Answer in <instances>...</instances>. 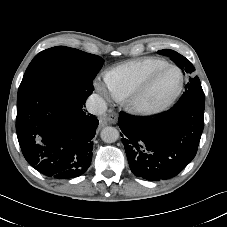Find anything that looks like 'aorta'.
I'll return each instance as SVG.
<instances>
[{
  "mask_svg": "<svg viewBox=\"0 0 227 227\" xmlns=\"http://www.w3.org/2000/svg\"><path fill=\"white\" fill-rule=\"evenodd\" d=\"M101 139L106 143H113L119 138V131L115 127L107 126L100 133Z\"/></svg>",
  "mask_w": 227,
  "mask_h": 227,
  "instance_id": "obj_1",
  "label": "aorta"
}]
</instances>
